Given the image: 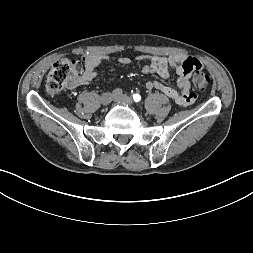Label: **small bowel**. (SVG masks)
Masks as SVG:
<instances>
[{
	"label": "small bowel",
	"instance_id": "small-bowel-1",
	"mask_svg": "<svg viewBox=\"0 0 253 253\" xmlns=\"http://www.w3.org/2000/svg\"><path fill=\"white\" fill-rule=\"evenodd\" d=\"M111 59L116 60L122 65H128L131 63V59L128 57L114 59L104 54H90L85 59L84 73L74 82V85L83 86L90 84L97 75L96 68L103 62ZM189 59L190 58H185L180 54H175L170 57L148 55L138 56V61H146V63L141 66V71L143 73H157L162 78H167L170 75L171 69H174L178 75L177 87L180 91L156 80L146 82L145 88L148 91L158 90L185 107L192 106L196 102L197 96L191 91L189 77L193 70L188 66Z\"/></svg>",
	"mask_w": 253,
	"mask_h": 253
}]
</instances>
